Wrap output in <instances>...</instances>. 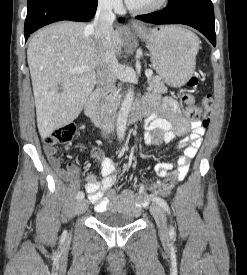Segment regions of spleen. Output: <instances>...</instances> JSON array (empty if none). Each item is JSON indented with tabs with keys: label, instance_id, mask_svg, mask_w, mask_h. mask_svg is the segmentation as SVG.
<instances>
[{
	"label": "spleen",
	"instance_id": "3e777b00",
	"mask_svg": "<svg viewBox=\"0 0 247 275\" xmlns=\"http://www.w3.org/2000/svg\"><path fill=\"white\" fill-rule=\"evenodd\" d=\"M195 45H196V48H198V46H199V40L197 38L195 40Z\"/></svg>",
	"mask_w": 247,
	"mask_h": 275
}]
</instances>
